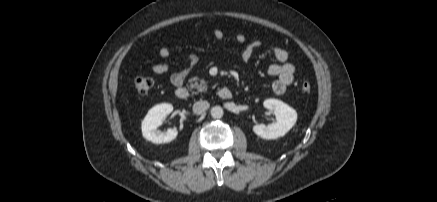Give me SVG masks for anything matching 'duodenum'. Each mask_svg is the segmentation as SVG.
<instances>
[{
	"label": "duodenum",
	"mask_w": 437,
	"mask_h": 202,
	"mask_svg": "<svg viewBox=\"0 0 437 202\" xmlns=\"http://www.w3.org/2000/svg\"><path fill=\"white\" fill-rule=\"evenodd\" d=\"M175 94L176 97L180 100H188L191 97L190 90L185 86L176 88ZM218 95L221 99L228 100L232 98V91L227 87H223L219 89Z\"/></svg>",
	"instance_id": "duodenum-1"
}]
</instances>
